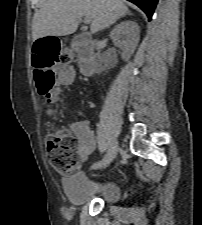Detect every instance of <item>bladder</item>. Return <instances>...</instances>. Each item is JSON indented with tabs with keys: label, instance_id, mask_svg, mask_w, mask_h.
Returning <instances> with one entry per match:
<instances>
[{
	"label": "bladder",
	"instance_id": "1",
	"mask_svg": "<svg viewBox=\"0 0 202 225\" xmlns=\"http://www.w3.org/2000/svg\"><path fill=\"white\" fill-rule=\"evenodd\" d=\"M66 197L73 207H80L91 200L99 199L107 205H115L123 199L118 181L113 179H92L79 172L63 180Z\"/></svg>",
	"mask_w": 202,
	"mask_h": 225
}]
</instances>
